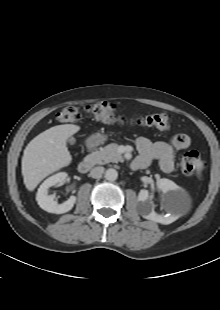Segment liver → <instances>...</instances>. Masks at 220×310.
Returning a JSON list of instances; mask_svg holds the SVG:
<instances>
[{"mask_svg": "<svg viewBox=\"0 0 220 310\" xmlns=\"http://www.w3.org/2000/svg\"><path fill=\"white\" fill-rule=\"evenodd\" d=\"M79 130L80 127L74 124L57 125L29 142L22 157L23 180L29 191H33L45 177L71 163L66 141Z\"/></svg>", "mask_w": 220, "mask_h": 310, "instance_id": "6515ba94", "label": "liver"}]
</instances>
